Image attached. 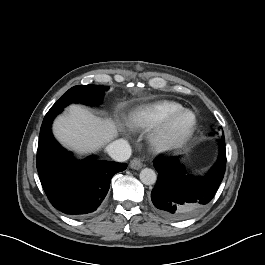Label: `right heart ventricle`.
<instances>
[{"label":"right heart ventricle","instance_id":"1","mask_svg":"<svg viewBox=\"0 0 265 265\" xmlns=\"http://www.w3.org/2000/svg\"><path fill=\"white\" fill-rule=\"evenodd\" d=\"M183 106L170 100H162L137 108L127 118V124L137 130L149 131L158 127L162 121Z\"/></svg>","mask_w":265,"mask_h":265}]
</instances>
